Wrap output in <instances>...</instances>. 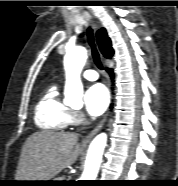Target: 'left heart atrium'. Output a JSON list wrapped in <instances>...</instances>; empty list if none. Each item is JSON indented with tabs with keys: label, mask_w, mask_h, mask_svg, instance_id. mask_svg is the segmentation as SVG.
I'll return each instance as SVG.
<instances>
[{
	"label": "left heart atrium",
	"mask_w": 178,
	"mask_h": 186,
	"mask_svg": "<svg viewBox=\"0 0 178 186\" xmlns=\"http://www.w3.org/2000/svg\"><path fill=\"white\" fill-rule=\"evenodd\" d=\"M85 107L89 115L97 117L102 115L109 104V93L102 84L90 86L84 96Z\"/></svg>",
	"instance_id": "obj_1"
}]
</instances>
